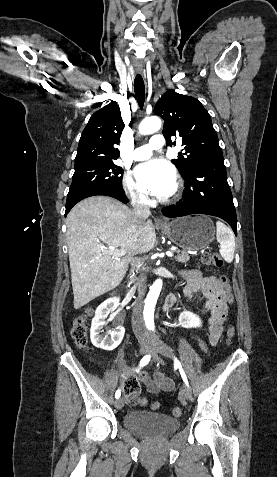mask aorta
I'll return each mask as SVG.
<instances>
[{
    "mask_svg": "<svg viewBox=\"0 0 277 477\" xmlns=\"http://www.w3.org/2000/svg\"><path fill=\"white\" fill-rule=\"evenodd\" d=\"M162 122L158 117H149L144 119L139 125L141 134H151L157 132L161 128ZM162 289V280L158 279L151 286L150 291L145 299L144 320L148 327H154V310L160 291Z\"/></svg>",
    "mask_w": 277,
    "mask_h": 477,
    "instance_id": "762f6f07",
    "label": "aorta"
}]
</instances>
